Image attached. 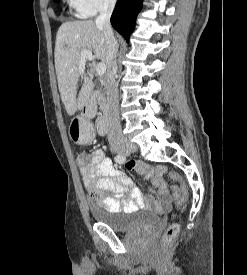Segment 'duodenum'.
Here are the masks:
<instances>
[{
    "instance_id": "410a0bca",
    "label": "duodenum",
    "mask_w": 247,
    "mask_h": 275,
    "mask_svg": "<svg viewBox=\"0 0 247 275\" xmlns=\"http://www.w3.org/2000/svg\"><path fill=\"white\" fill-rule=\"evenodd\" d=\"M98 92L96 90L88 93L84 100L82 109L84 114H87L90 110H93L96 106L98 100ZM110 111L107 109L102 116L97 117L96 119V128L99 135L106 134L109 126Z\"/></svg>"
}]
</instances>
